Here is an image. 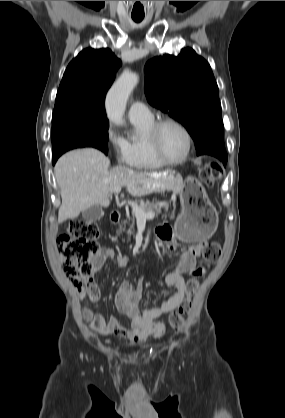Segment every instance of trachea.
Masks as SVG:
<instances>
[{"label": "trachea", "mask_w": 285, "mask_h": 418, "mask_svg": "<svg viewBox=\"0 0 285 418\" xmlns=\"http://www.w3.org/2000/svg\"><path fill=\"white\" fill-rule=\"evenodd\" d=\"M132 19H133L135 22H141V21H142V19H143V17L133 16V17H132Z\"/></svg>", "instance_id": "3493384b"}]
</instances>
